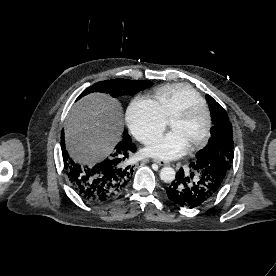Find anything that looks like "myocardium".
<instances>
[{"label": "myocardium", "mask_w": 276, "mask_h": 276, "mask_svg": "<svg viewBox=\"0 0 276 276\" xmlns=\"http://www.w3.org/2000/svg\"><path fill=\"white\" fill-rule=\"evenodd\" d=\"M198 113H203L205 115V118H206L205 130L202 137L194 145L190 147V151H196L203 148L209 140V137L211 135V129H212V116H211L210 110L206 105L195 103L187 106L186 108L178 112L170 120V122L175 120H189Z\"/></svg>", "instance_id": "obj_1"}]
</instances>
